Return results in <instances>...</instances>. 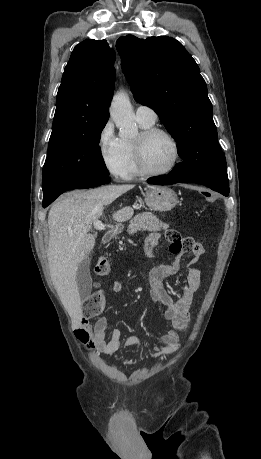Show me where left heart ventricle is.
Returning <instances> with one entry per match:
<instances>
[{"label":"left heart ventricle","mask_w":261,"mask_h":459,"mask_svg":"<svg viewBox=\"0 0 261 459\" xmlns=\"http://www.w3.org/2000/svg\"><path fill=\"white\" fill-rule=\"evenodd\" d=\"M144 160L150 170L160 171L166 169L173 160L171 141L162 134L151 137L144 145Z\"/></svg>","instance_id":"b2bd125f"}]
</instances>
